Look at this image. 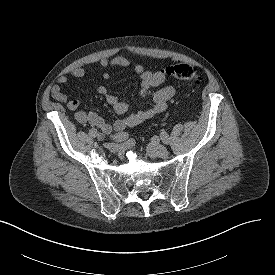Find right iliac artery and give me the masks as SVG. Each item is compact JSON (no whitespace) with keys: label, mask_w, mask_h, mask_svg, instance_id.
Masks as SVG:
<instances>
[{"label":"right iliac artery","mask_w":275,"mask_h":275,"mask_svg":"<svg viewBox=\"0 0 275 275\" xmlns=\"http://www.w3.org/2000/svg\"><path fill=\"white\" fill-rule=\"evenodd\" d=\"M98 135L97 129L92 128L89 130V136L92 138H95ZM128 138V133H119L115 136V139L117 141H123Z\"/></svg>","instance_id":"1"}]
</instances>
